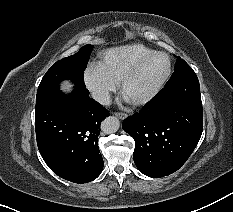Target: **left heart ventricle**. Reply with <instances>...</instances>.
Segmentation results:
<instances>
[{
	"mask_svg": "<svg viewBox=\"0 0 233 212\" xmlns=\"http://www.w3.org/2000/svg\"><path fill=\"white\" fill-rule=\"evenodd\" d=\"M166 70L167 59L164 56L151 58L127 84L125 97L129 100L141 98L159 82Z\"/></svg>",
	"mask_w": 233,
	"mask_h": 212,
	"instance_id": "1",
	"label": "left heart ventricle"
}]
</instances>
